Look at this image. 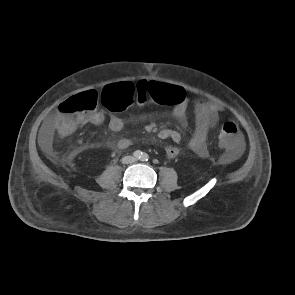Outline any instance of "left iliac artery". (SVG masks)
<instances>
[{"mask_svg":"<svg viewBox=\"0 0 295 295\" xmlns=\"http://www.w3.org/2000/svg\"><path fill=\"white\" fill-rule=\"evenodd\" d=\"M142 161H147L148 159H149V156H148V154H146V153H143L142 154Z\"/></svg>","mask_w":295,"mask_h":295,"instance_id":"1","label":"left iliac artery"}]
</instances>
